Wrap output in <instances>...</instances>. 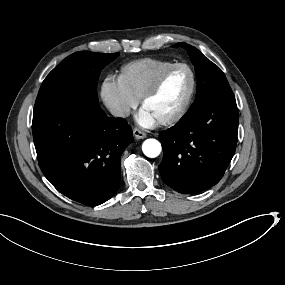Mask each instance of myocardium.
<instances>
[{"label":"myocardium","instance_id":"1","mask_svg":"<svg viewBox=\"0 0 285 285\" xmlns=\"http://www.w3.org/2000/svg\"><path fill=\"white\" fill-rule=\"evenodd\" d=\"M176 73L187 74L190 79V82H189L190 87H189V91H188V94L186 96V99L183 105L175 113L168 115L159 120V123L163 125H170V124H174L178 122L188 111L191 105V102H192L194 88H195V81H194V76L192 72L189 69L182 67V66H175V67H172L166 70L159 77L156 83L141 95L140 100H139L140 105L143 106L152 96L158 93L161 90V88L164 86V84L167 82V80Z\"/></svg>","mask_w":285,"mask_h":285}]
</instances>
